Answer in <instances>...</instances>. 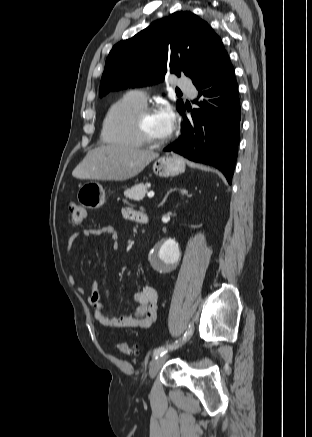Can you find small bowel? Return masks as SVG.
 <instances>
[{
  "label": "small bowel",
  "instance_id": "small-bowel-1",
  "mask_svg": "<svg viewBox=\"0 0 312 437\" xmlns=\"http://www.w3.org/2000/svg\"><path fill=\"white\" fill-rule=\"evenodd\" d=\"M122 215L125 219L136 223H142V219L145 216L144 213L130 208H124ZM91 235H108L112 239L114 247L118 245V231L111 225L103 226L98 229H84L74 233L71 236V240L75 241L80 237H88ZM70 282L72 285H75L74 279H71ZM78 291L83 293L84 289L78 287ZM134 298L137 303L135 310L126 314L109 315L100 300L99 284L96 280H93L91 282L90 293L87 296V302L93 308L95 319L102 326L108 328H150L157 318V290L151 285H143L135 292Z\"/></svg>",
  "mask_w": 312,
  "mask_h": 437
}]
</instances>
